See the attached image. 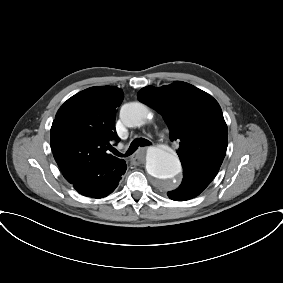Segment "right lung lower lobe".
Returning a JSON list of instances; mask_svg holds the SVG:
<instances>
[{
	"label": "right lung lower lobe",
	"instance_id": "1",
	"mask_svg": "<svg viewBox=\"0 0 283 283\" xmlns=\"http://www.w3.org/2000/svg\"><path fill=\"white\" fill-rule=\"evenodd\" d=\"M126 169V163H104L96 168L95 174L81 177L73 186L84 196L106 197L115 190Z\"/></svg>",
	"mask_w": 283,
	"mask_h": 283
}]
</instances>
